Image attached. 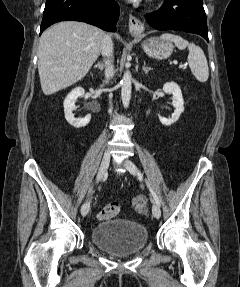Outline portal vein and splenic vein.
Listing matches in <instances>:
<instances>
[{"instance_id":"1","label":"portal vein and splenic vein","mask_w":240,"mask_h":287,"mask_svg":"<svg viewBox=\"0 0 240 287\" xmlns=\"http://www.w3.org/2000/svg\"><path fill=\"white\" fill-rule=\"evenodd\" d=\"M179 68H180V69H186V68H187V66H186V65L181 64V65H179Z\"/></svg>"}]
</instances>
